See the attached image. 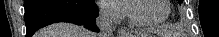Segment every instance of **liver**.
<instances>
[{"mask_svg":"<svg viewBox=\"0 0 219 37\" xmlns=\"http://www.w3.org/2000/svg\"><path fill=\"white\" fill-rule=\"evenodd\" d=\"M37 37H94V34L83 27L68 23H58L41 29Z\"/></svg>","mask_w":219,"mask_h":37,"instance_id":"obj_1","label":"liver"}]
</instances>
